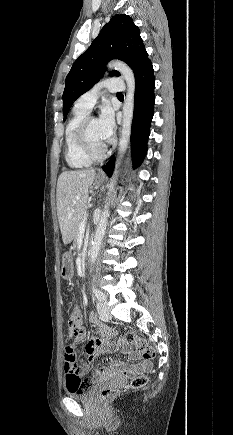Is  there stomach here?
<instances>
[{"instance_id":"stomach-1","label":"stomach","mask_w":233,"mask_h":435,"mask_svg":"<svg viewBox=\"0 0 233 435\" xmlns=\"http://www.w3.org/2000/svg\"><path fill=\"white\" fill-rule=\"evenodd\" d=\"M103 182V178L96 177L95 183L97 185H100ZM61 277L63 279L69 280L74 275V265H73V258L71 253L67 252L64 253L62 256V267H61Z\"/></svg>"}]
</instances>
